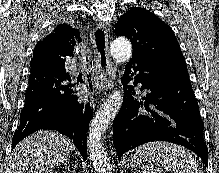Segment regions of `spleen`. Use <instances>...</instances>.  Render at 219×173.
Wrapping results in <instances>:
<instances>
[{
	"label": "spleen",
	"mask_w": 219,
	"mask_h": 173,
	"mask_svg": "<svg viewBox=\"0 0 219 173\" xmlns=\"http://www.w3.org/2000/svg\"><path fill=\"white\" fill-rule=\"evenodd\" d=\"M149 160L142 173H203L192 154L183 147L168 142L154 141L135 150L132 161L135 164Z\"/></svg>",
	"instance_id": "1"
}]
</instances>
